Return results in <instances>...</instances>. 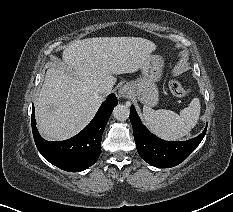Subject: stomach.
<instances>
[{
	"mask_svg": "<svg viewBox=\"0 0 233 212\" xmlns=\"http://www.w3.org/2000/svg\"><path fill=\"white\" fill-rule=\"evenodd\" d=\"M163 59L156 54H150L141 68L142 76L131 83L132 92L143 104L153 107L158 103L159 93L156 86L162 76Z\"/></svg>",
	"mask_w": 233,
	"mask_h": 212,
	"instance_id": "stomach-1",
	"label": "stomach"
}]
</instances>
